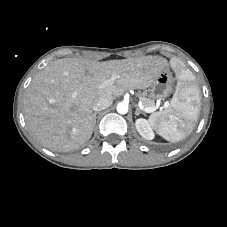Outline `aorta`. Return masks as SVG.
<instances>
[{"instance_id": "762f6f07", "label": "aorta", "mask_w": 227, "mask_h": 227, "mask_svg": "<svg viewBox=\"0 0 227 227\" xmlns=\"http://www.w3.org/2000/svg\"><path fill=\"white\" fill-rule=\"evenodd\" d=\"M116 109L119 114H126L128 112V104L120 102L117 104Z\"/></svg>"}]
</instances>
